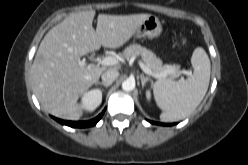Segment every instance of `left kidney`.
<instances>
[{
    "mask_svg": "<svg viewBox=\"0 0 248 165\" xmlns=\"http://www.w3.org/2000/svg\"><path fill=\"white\" fill-rule=\"evenodd\" d=\"M146 97H147L148 100L151 99V92H150V90H147L146 91Z\"/></svg>",
    "mask_w": 248,
    "mask_h": 165,
    "instance_id": "5707ae66",
    "label": "left kidney"
}]
</instances>
